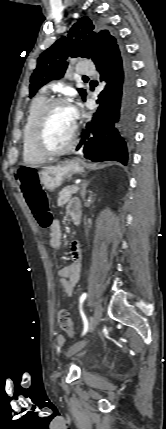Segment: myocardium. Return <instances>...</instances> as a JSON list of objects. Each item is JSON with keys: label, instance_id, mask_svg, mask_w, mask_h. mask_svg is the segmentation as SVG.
<instances>
[{"label": "myocardium", "instance_id": "f54148a6", "mask_svg": "<svg viewBox=\"0 0 166 429\" xmlns=\"http://www.w3.org/2000/svg\"><path fill=\"white\" fill-rule=\"evenodd\" d=\"M60 104H66L69 106L68 101L63 97H53L48 99L40 109L32 127L31 146L35 152H37L38 154L46 158L63 155L69 152L76 143L78 124L75 119H74V125L72 128L69 142L64 147L56 150H51V149H48L42 142V130H43L46 117L53 107Z\"/></svg>", "mask_w": 166, "mask_h": 429}]
</instances>
